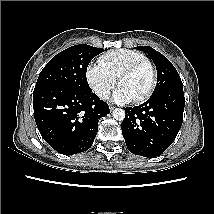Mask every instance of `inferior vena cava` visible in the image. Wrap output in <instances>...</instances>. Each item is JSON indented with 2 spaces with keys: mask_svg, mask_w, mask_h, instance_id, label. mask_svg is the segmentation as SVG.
<instances>
[{
  "mask_svg": "<svg viewBox=\"0 0 214 214\" xmlns=\"http://www.w3.org/2000/svg\"><path fill=\"white\" fill-rule=\"evenodd\" d=\"M98 96L102 99H108L109 97V93L107 91H104V90H100L98 92Z\"/></svg>",
  "mask_w": 214,
  "mask_h": 214,
  "instance_id": "obj_1",
  "label": "inferior vena cava"
}]
</instances>
